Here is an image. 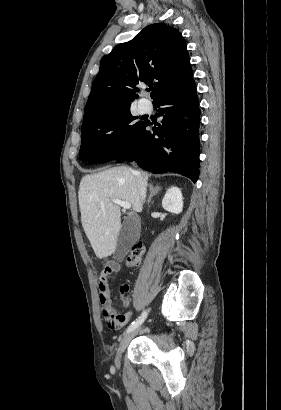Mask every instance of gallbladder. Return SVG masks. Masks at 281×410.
Segmentation results:
<instances>
[{"mask_svg": "<svg viewBox=\"0 0 281 410\" xmlns=\"http://www.w3.org/2000/svg\"><path fill=\"white\" fill-rule=\"evenodd\" d=\"M138 237V232L135 226V217H127L120 229L115 257L118 261H123L128 254L131 246L135 243Z\"/></svg>", "mask_w": 281, "mask_h": 410, "instance_id": "1", "label": "gallbladder"}]
</instances>
